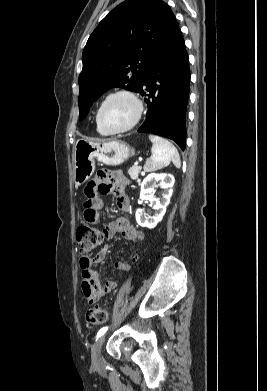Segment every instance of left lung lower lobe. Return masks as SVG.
Instances as JSON below:
<instances>
[{
    "mask_svg": "<svg viewBox=\"0 0 267 391\" xmlns=\"http://www.w3.org/2000/svg\"><path fill=\"white\" fill-rule=\"evenodd\" d=\"M189 82V59L178 28L152 58L138 90L148 96L146 120L138 131L169 138L184 150Z\"/></svg>",
    "mask_w": 267,
    "mask_h": 391,
    "instance_id": "0a47b994",
    "label": "left lung lower lobe"
}]
</instances>
